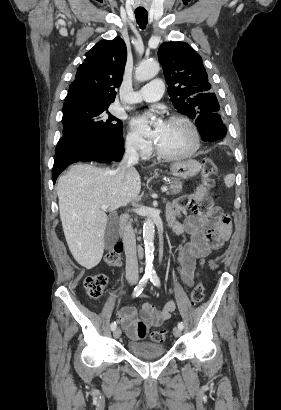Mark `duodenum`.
I'll use <instances>...</instances> for the list:
<instances>
[{
	"mask_svg": "<svg viewBox=\"0 0 281 410\" xmlns=\"http://www.w3.org/2000/svg\"><path fill=\"white\" fill-rule=\"evenodd\" d=\"M126 221H127V216L126 215H121L120 218H119V225L123 226Z\"/></svg>",
	"mask_w": 281,
	"mask_h": 410,
	"instance_id": "1",
	"label": "duodenum"
}]
</instances>
